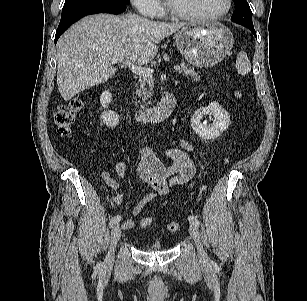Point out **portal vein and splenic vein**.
<instances>
[{
    "instance_id": "obj_1",
    "label": "portal vein and splenic vein",
    "mask_w": 307,
    "mask_h": 301,
    "mask_svg": "<svg viewBox=\"0 0 307 301\" xmlns=\"http://www.w3.org/2000/svg\"><path fill=\"white\" fill-rule=\"evenodd\" d=\"M124 63L125 65H127L131 71L137 75L143 76V77H149L152 75L153 73V69L148 68V67H142V66H137L134 65L133 63H130L129 61H123L122 59H111V63ZM174 69L176 71H180L181 67L176 65L174 66Z\"/></svg>"
}]
</instances>
